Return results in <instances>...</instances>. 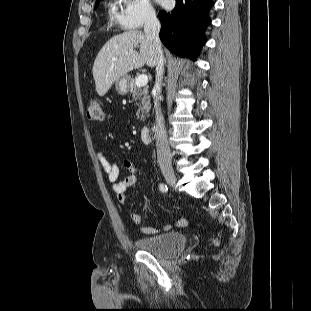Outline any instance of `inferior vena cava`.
I'll return each instance as SVG.
<instances>
[{
	"mask_svg": "<svg viewBox=\"0 0 311 311\" xmlns=\"http://www.w3.org/2000/svg\"><path fill=\"white\" fill-rule=\"evenodd\" d=\"M160 22L156 17L154 12L147 14L144 24V32L148 39L153 42L155 47L157 58H156V83L155 89L157 94L154 100V108L156 111V148H157V159L160 166H170L171 165V152L168 146L167 133L164 126V118L160 110V91L161 83L164 73V55L162 51V45L159 38Z\"/></svg>",
	"mask_w": 311,
	"mask_h": 311,
	"instance_id": "1",
	"label": "inferior vena cava"
}]
</instances>
